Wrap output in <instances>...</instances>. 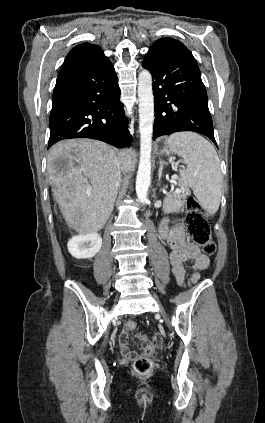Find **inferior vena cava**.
<instances>
[{"label":"inferior vena cava","instance_id":"1","mask_svg":"<svg viewBox=\"0 0 265 423\" xmlns=\"http://www.w3.org/2000/svg\"><path fill=\"white\" fill-rule=\"evenodd\" d=\"M119 181H120V170H119V180H118V185H119Z\"/></svg>","mask_w":265,"mask_h":423}]
</instances>
